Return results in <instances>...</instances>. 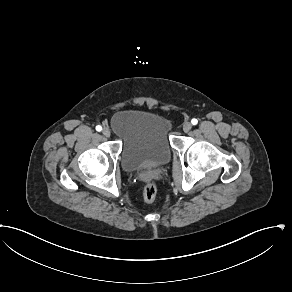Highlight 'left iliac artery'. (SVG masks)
<instances>
[{
  "instance_id": "1",
  "label": "left iliac artery",
  "mask_w": 292,
  "mask_h": 292,
  "mask_svg": "<svg viewBox=\"0 0 292 292\" xmlns=\"http://www.w3.org/2000/svg\"><path fill=\"white\" fill-rule=\"evenodd\" d=\"M191 123H192L193 125H196V124L198 123V120L195 119V118H193V119L191 120Z\"/></svg>"
}]
</instances>
